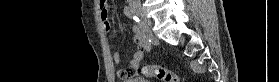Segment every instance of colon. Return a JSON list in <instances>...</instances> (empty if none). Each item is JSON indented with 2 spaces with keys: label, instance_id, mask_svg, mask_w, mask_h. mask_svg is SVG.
<instances>
[{
  "label": "colon",
  "instance_id": "1",
  "mask_svg": "<svg viewBox=\"0 0 279 82\" xmlns=\"http://www.w3.org/2000/svg\"><path fill=\"white\" fill-rule=\"evenodd\" d=\"M138 73L160 82H180V78L176 73L162 65L146 64L139 69Z\"/></svg>",
  "mask_w": 279,
  "mask_h": 82
}]
</instances>
